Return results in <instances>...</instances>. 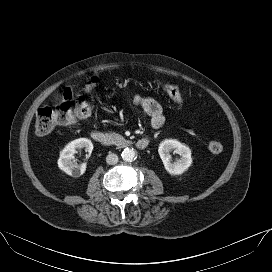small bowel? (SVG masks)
<instances>
[{
	"instance_id": "1",
	"label": "small bowel",
	"mask_w": 272,
	"mask_h": 272,
	"mask_svg": "<svg viewBox=\"0 0 272 272\" xmlns=\"http://www.w3.org/2000/svg\"><path fill=\"white\" fill-rule=\"evenodd\" d=\"M129 101L135 105H140L146 114L150 117V124L153 129H159L163 126L165 118L162 106L154 99L133 95L129 97Z\"/></svg>"
}]
</instances>
